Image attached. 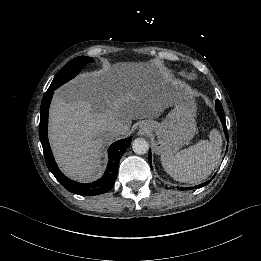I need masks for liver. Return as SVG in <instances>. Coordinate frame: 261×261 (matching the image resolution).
I'll use <instances>...</instances> for the list:
<instances>
[{
  "label": "liver",
  "instance_id": "liver-1",
  "mask_svg": "<svg viewBox=\"0 0 261 261\" xmlns=\"http://www.w3.org/2000/svg\"><path fill=\"white\" fill-rule=\"evenodd\" d=\"M180 81L142 64L81 73L55 91L49 109V140L61 170L79 182L100 178L103 149L117 121L129 134L134 119L157 118L172 105Z\"/></svg>",
  "mask_w": 261,
  "mask_h": 261
}]
</instances>
